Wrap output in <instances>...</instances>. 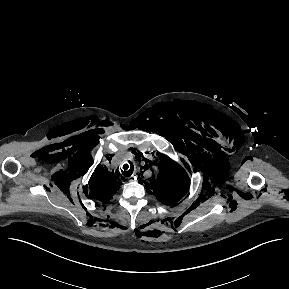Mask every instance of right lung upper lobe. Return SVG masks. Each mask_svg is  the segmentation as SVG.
Masks as SVG:
<instances>
[{
  "label": "right lung upper lobe",
  "instance_id": "obj_1",
  "mask_svg": "<svg viewBox=\"0 0 289 289\" xmlns=\"http://www.w3.org/2000/svg\"><path fill=\"white\" fill-rule=\"evenodd\" d=\"M119 178L114 177L113 173H110L102 166H97L96 174L90 179V196L102 202H108L112 196L119 189ZM86 194L87 188L85 189Z\"/></svg>",
  "mask_w": 289,
  "mask_h": 289
}]
</instances>
